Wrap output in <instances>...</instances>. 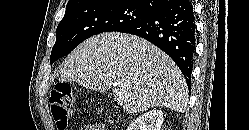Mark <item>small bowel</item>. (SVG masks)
<instances>
[{"instance_id": "obj_1", "label": "small bowel", "mask_w": 249, "mask_h": 130, "mask_svg": "<svg viewBox=\"0 0 249 130\" xmlns=\"http://www.w3.org/2000/svg\"><path fill=\"white\" fill-rule=\"evenodd\" d=\"M81 130H105L103 124H89L81 128Z\"/></svg>"}]
</instances>
